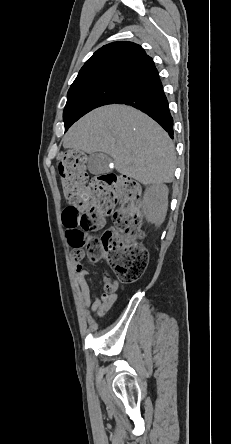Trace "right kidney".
<instances>
[{
  "mask_svg": "<svg viewBox=\"0 0 231 444\" xmlns=\"http://www.w3.org/2000/svg\"><path fill=\"white\" fill-rule=\"evenodd\" d=\"M168 207V188L166 185L157 184L146 188L143 197V210L146 219L160 225L166 216Z\"/></svg>",
  "mask_w": 231,
  "mask_h": 444,
  "instance_id": "right-kidney-1",
  "label": "right kidney"
}]
</instances>
